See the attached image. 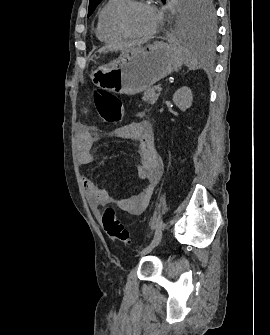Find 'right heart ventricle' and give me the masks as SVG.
Listing matches in <instances>:
<instances>
[{
    "instance_id": "obj_1",
    "label": "right heart ventricle",
    "mask_w": 270,
    "mask_h": 335,
    "mask_svg": "<svg viewBox=\"0 0 270 335\" xmlns=\"http://www.w3.org/2000/svg\"><path fill=\"white\" fill-rule=\"evenodd\" d=\"M127 1L123 0H108L98 13L95 35L98 40L103 43H116L123 40L125 37L119 34L113 24L115 12Z\"/></svg>"
}]
</instances>
